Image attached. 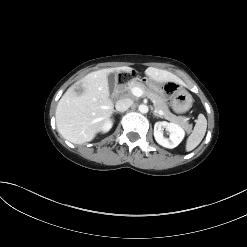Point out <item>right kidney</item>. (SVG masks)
<instances>
[{"label":"right kidney","mask_w":247,"mask_h":247,"mask_svg":"<svg viewBox=\"0 0 247 247\" xmlns=\"http://www.w3.org/2000/svg\"><path fill=\"white\" fill-rule=\"evenodd\" d=\"M112 126H113V121L112 120H110V119H107L104 123H103V125L101 126V131L103 132V133H106V132H108L111 128H112Z\"/></svg>","instance_id":"right-kidney-1"}]
</instances>
